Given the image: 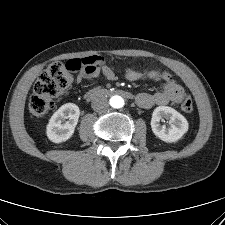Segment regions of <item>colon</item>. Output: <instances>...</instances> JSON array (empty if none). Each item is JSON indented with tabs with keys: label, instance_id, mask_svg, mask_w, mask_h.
Instances as JSON below:
<instances>
[{
	"label": "colon",
	"instance_id": "obj_1",
	"mask_svg": "<svg viewBox=\"0 0 225 225\" xmlns=\"http://www.w3.org/2000/svg\"><path fill=\"white\" fill-rule=\"evenodd\" d=\"M101 57L93 55L68 62H52L44 70L36 81L33 94L29 100L30 112L35 116H41L49 111L53 105V99L73 82V73L85 70L92 71L99 64ZM126 74H133L142 78L169 80L168 72L158 68H127ZM181 109L189 113L193 110V101L189 95H184L180 102Z\"/></svg>",
	"mask_w": 225,
	"mask_h": 225
}]
</instances>
